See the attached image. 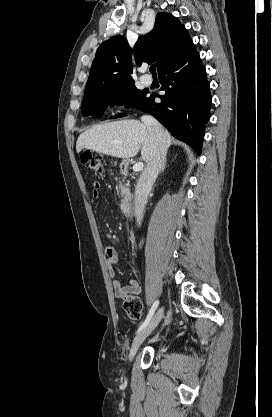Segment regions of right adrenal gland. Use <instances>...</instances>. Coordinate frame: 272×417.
<instances>
[{
	"label": "right adrenal gland",
	"instance_id": "1",
	"mask_svg": "<svg viewBox=\"0 0 272 417\" xmlns=\"http://www.w3.org/2000/svg\"><path fill=\"white\" fill-rule=\"evenodd\" d=\"M166 163H167V159H165V161H164V163H163V166H162V168H161V173H162V172H164L165 167H166Z\"/></svg>",
	"mask_w": 272,
	"mask_h": 417
}]
</instances>
